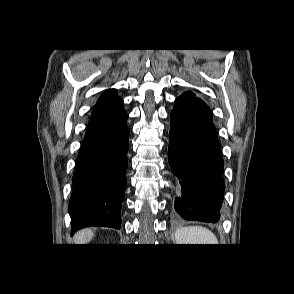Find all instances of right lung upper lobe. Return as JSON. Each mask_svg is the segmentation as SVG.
I'll return each mask as SVG.
<instances>
[{
    "instance_id": "obj_1",
    "label": "right lung upper lobe",
    "mask_w": 294,
    "mask_h": 294,
    "mask_svg": "<svg viewBox=\"0 0 294 294\" xmlns=\"http://www.w3.org/2000/svg\"><path fill=\"white\" fill-rule=\"evenodd\" d=\"M120 98L116 95L115 89H108L106 92L99 98L96 105L105 104V103H112Z\"/></svg>"
}]
</instances>
